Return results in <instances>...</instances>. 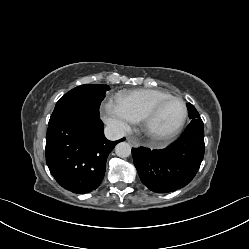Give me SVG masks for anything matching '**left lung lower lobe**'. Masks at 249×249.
Instances as JSON below:
<instances>
[{
    "label": "left lung lower lobe",
    "mask_w": 249,
    "mask_h": 249,
    "mask_svg": "<svg viewBox=\"0 0 249 249\" xmlns=\"http://www.w3.org/2000/svg\"><path fill=\"white\" fill-rule=\"evenodd\" d=\"M140 179L151 191L172 192L186 186L204 157V125L190 123L184 134L162 150L132 149Z\"/></svg>",
    "instance_id": "1"
}]
</instances>
